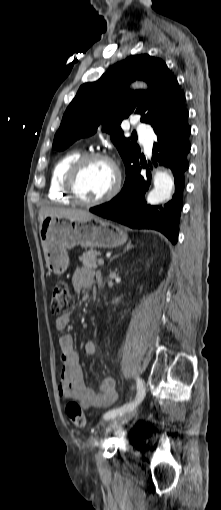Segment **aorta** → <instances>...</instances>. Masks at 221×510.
I'll return each mask as SVG.
<instances>
[{
	"label": "aorta",
	"instance_id": "aorta-1",
	"mask_svg": "<svg viewBox=\"0 0 221 510\" xmlns=\"http://www.w3.org/2000/svg\"><path fill=\"white\" fill-rule=\"evenodd\" d=\"M174 181L171 175L165 171H157L154 175V188L147 196V202L157 205L171 197Z\"/></svg>",
	"mask_w": 221,
	"mask_h": 510
}]
</instances>
